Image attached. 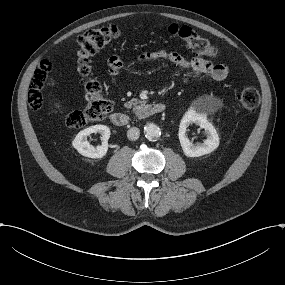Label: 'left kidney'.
<instances>
[{"mask_svg":"<svg viewBox=\"0 0 285 285\" xmlns=\"http://www.w3.org/2000/svg\"><path fill=\"white\" fill-rule=\"evenodd\" d=\"M197 124L207 134V139L199 145H193L186 136L188 123L182 122L179 130V140L183 154L189 158L202 157L215 152L219 146V137L214 126L206 119H200Z\"/></svg>","mask_w":285,"mask_h":285,"instance_id":"obj_1","label":"left kidney"}]
</instances>
